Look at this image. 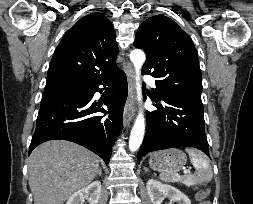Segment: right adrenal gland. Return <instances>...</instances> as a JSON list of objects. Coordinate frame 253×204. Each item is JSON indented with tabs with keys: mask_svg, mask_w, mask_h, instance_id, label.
<instances>
[{
	"mask_svg": "<svg viewBox=\"0 0 253 204\" xmlns=\"http://www.w3.org/2000/svg\"><path fill=\"white\" fill-rule=\"evenodd\" d=\"M98 175H99V176H101V175H102V169H101V168H99Z\"/></svg>",
	"mask_w": 253,
	"mask_h": 204,
	"instance_id": "2a0ac1e0",
	"label": "right adrenal gland"
}]
</instances>
